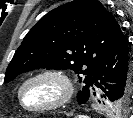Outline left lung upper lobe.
<instances>
[{"mask_svg": "<svg viewBox=\"0 0 133 118\" xmlns=\"http://www.w3.org/2000/svg\"><path fill=\"white\" fill-rule=\"evenodd\" d=\"M120 26L98 0H74L40 19L25 36L7 67L4 82L37 68L72 69L85 85L77 94L79 104L89 99L92 73L111 46ZM98 102L110 113L126 112L130 96L116 102Z\"/></svg>", "mask_w": 133, "mask_h": 118, "instance_id": "5c2ea615", "label": "left lung upper lobe"}]
</instances>
